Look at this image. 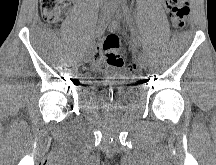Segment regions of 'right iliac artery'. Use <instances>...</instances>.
I'll use <instances>...</instances> for the list:
<instances>
[{
  "label": "right iliac artery",
  "instance_id": "right-iliac-artery-1",
  "mask_svg": "<svg viewBox=\"0 0 216 165\" xmlns=\"http://www.w3.org/2000/svg\"><path fill=\"white\" fill-rule=\"evenodd\" d=\"M115 10H116V5H113L111 7L109 13L106 14V17L98 25V27H97V29L95 31L94 39H90V41L86 45V50H85V53H84L86 56L90 53L92 44H95V41L100 39V37L103 35L105 29L107 28L113 14L115 12Z\"/></svg>",
  "mask_w": 216,
  "mask_h": 165
}]
</instances>
